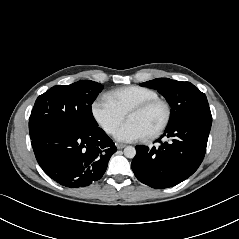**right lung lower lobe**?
Instances as JSON below:
<instances>
[{
  "instance_id": "obj_1",
  "label": "right lung lower lobe",
  "mask_w": 239,
  "mask_h": 239,
  "mask_svg": "<svg viewBox=\"0 0 239 239\" xmlns=\"http://www.w3.org/2000/svg\"><path fill=\"white\" fill-rule=\"evenodd\" d=\"M37 162L59 184L85 187L99 180L117 151L107 134L97 126L88 129L49 128L32 138Z\"/></svg>"
}]
</instances>
